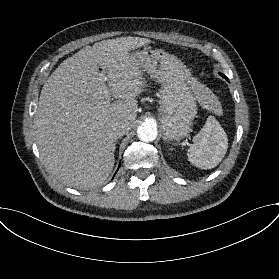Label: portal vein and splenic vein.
<instances>
[{
	"label": "portal vein and splenic vein",
	"instance_id": "portal-vein-and-splenic-vein-1",
	"mask_svg": "<svg viewBox=\"0 0 279 279\" xmlns=\"http://www.w3.org/2000/svg\"><path fill=\"white\" fill-rule=\"evenodd\" d=\"M102 92H103V94H104L105 97L109 98L110 93H109V90H108V88H107L106 85H103V86H102Z\"/></svg>",
	"mask_w": 279,
	"mask_h": 279
}]
</instances>
